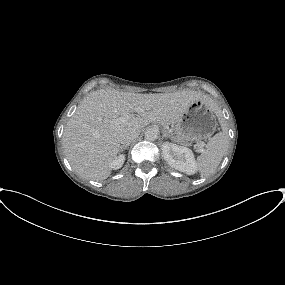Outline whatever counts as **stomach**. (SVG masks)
<instances>
[{
    "instance_id": "obj_1",
    "label": "stomach",
    "mask_w": 285,
    "mask_h": 285,
    "mask_svg": "<svg viewBox=\"0 0 285 285\" xmlns=\"http://www.w3.org/2000/svg\"><path fill=\"white\" fill-rule=\"evenodd\" d=\"M217 127L216 111L203 101L190 105L174 124L175 141L186 144L194 140L209 139Z\"/></svg>"
}]
</instances>
